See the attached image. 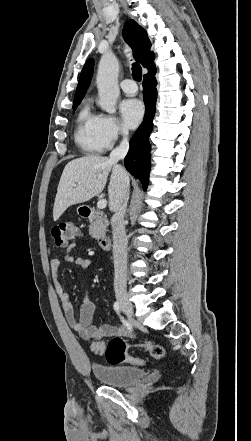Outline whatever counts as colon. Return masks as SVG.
Masks as SVG:
<instances>
[{"mask_svg":"<svg viewBox=\"0 0 251 441\" xmlns=\"http://www.w3.org/2000/svg\"><path fill=\"white\" fill-rule=\"evenodd\" d=\"M51 234L57 247H65L78 235V229L73 223L64 222L54 226ZM130 348L148 351L157 360H163L167 355V350L163 345L150 342L128 344L121 337H114L107 343L96 341L91 345L92 351L103 355L110 364H145L142 358L128 354Z\"/></svg>","mask_w":251,"mask_h":441,"instance_id":"5ec220e1","label":"colon"}]
</instances>
